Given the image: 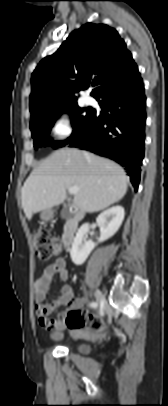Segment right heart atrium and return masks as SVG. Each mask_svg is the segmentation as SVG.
<instances>
[{
    "label": "right heart atrium",
    "instance_id": "d8ad5b80",
    "mask_svg": "<svg viewBox=\"0 0 168 406\" xmlns=\"http://www.w3.org/2000/svg\"><path fill=\"white\" fill-rule=\"evenodd\" d=\"M50 130L56 140L67 138L73 131V120L69 113H59L51 122Z\"/></svg>",
    "mask_w": 168,
    "mask_h": 406
}]
</instances>
